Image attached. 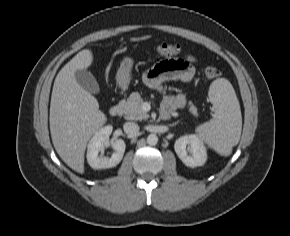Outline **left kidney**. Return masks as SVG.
Returning a JSON list of instances; mask_svg holds the SVG:
<instances>
[{"label": "left kidney", "instance_id": "obj_1", "mask_svg": "<svg viewBox=\"0 0 290 236\" xmlns=\"http://www.w3.org/2000/svg\"><path fill=\"white\" fill-rule=\"evenodd\" d=\"M174 149L181 161L189 167L205 164L207 151L203 142L197 135H185L176 140ZM190 153V155L188 154Z\"/></svg>", "mask_w": 290, "mask_h": 236}]
</instances>
